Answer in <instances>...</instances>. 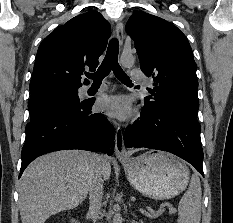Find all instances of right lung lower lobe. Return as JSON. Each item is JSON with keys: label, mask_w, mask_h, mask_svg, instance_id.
<instances>
[{"label": "right lung lower lobe", "mask_w": 233, "mask_h": 223, "mask_svg": "<svg viewBox=\"0 0 233 223\" xmlns=\"http://www.w3.org/2000/svg\"><path fill=\"white\" fill-rule=\"evenodd\" d=\"M93 100L70 105L65 111L38 116L26 126V141L22 149L24 169L38 156L62 149L101 151L111 155L114 150V130L105 116L92 113Z\"/></svg>", "instance_id": "right-lung-lower-lobe-1"}]
</instances>
